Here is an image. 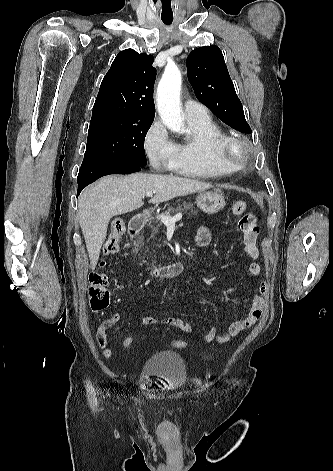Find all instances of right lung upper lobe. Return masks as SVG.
Masks as SVG:
<instances>
[{"mask_svg": "<svg viewBox=\"0 0 333 471\" xmlns=\"http://www.w3.org/2000/svg\"><path fill=\"white\" fill-rule=\"evenodd\" d=\"M153 62L152 55L139 54L133 49L119 52L102 80L92 117L122 114L154 118Z\"/></svg>", "mask_w": 333, "mask_h": 471, "instance_id": "cb5924a9", "label": "right lung upper lobe"}]
</instances>
